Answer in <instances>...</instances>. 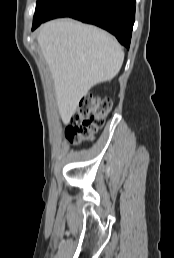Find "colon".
I'll return each mask as SVG.
<instances>
[{
    "label": "colon",
    "mask_w": 174,
    "mask_h": 258,
    "mask_svg": "<svg viewBox=\"0 0 174 258\" xmlns=\"http://www.w3.org/2000/svg\"><path fill=\"white\" fill-rule=\"evenodd\" d=\"M111 107L110 99L92 95L84 96L65 130L66 138L72 144H80L91 140L104 125Z\"/></svg>",
    "instance_id": "obj_1"
}]
</instances>
